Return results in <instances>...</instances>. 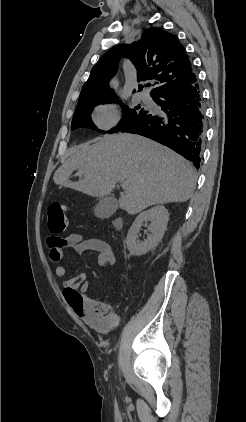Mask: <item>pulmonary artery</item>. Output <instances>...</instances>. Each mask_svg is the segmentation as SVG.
<instances>
[{
    "mask_svg": "<svg viewBox=\"0 0 246 422\" xmlns=\"http://www.w3.org/2000/svg\"><path fill=\"white\" fill-rule=\"evenodd\" d=\"M141 100H142L143 102H146V103H150V102H151V98H150V96H149L148 94H146V93H143V94L141 95Z\"/></svg>",
    "mask_w": 246,
    "mask_h": 422,
    "instance_id": "1",
    "label": "pulmonary artery"
}]
</instances>
